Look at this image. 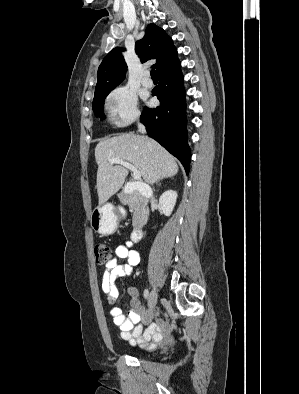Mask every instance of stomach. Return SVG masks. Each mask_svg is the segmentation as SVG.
Returning a JSON list of instances; mask_svg holds the SVG:
<instances>
[{
  "instance_id": "1",
  "label": "stomach",
  "mask_w": 299,
  "mask_h": 394,
  "mask_svg": "<svg viewBox=\"0 0 299 394\" xmlns=\"http://www.w3.org/2000/svg\"><path fill=\"white\" fill-rule=\"evenodd\" d=\"M119 216L111 203L96 207L90 216L92 229L101 235H111L118 225Z\"/></svg>"
}]
</instances>
